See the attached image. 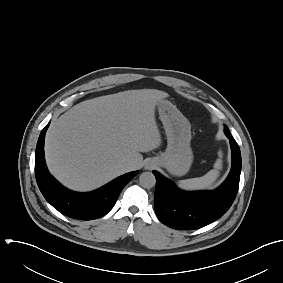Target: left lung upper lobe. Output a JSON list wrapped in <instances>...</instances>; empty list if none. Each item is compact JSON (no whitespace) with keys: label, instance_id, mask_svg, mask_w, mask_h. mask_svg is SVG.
<instances>
[{"label":"left lung upper lobe","instance_id":"1","mask_svg":"<svg viewBox=\"0 0 283 283\" xmlns=\"http://www.w3.org/2000/svg\"><path fill=\"white\" fill-rule=\"evenodd\" d=\"M224 131H225V133L230 132L229 129H228V127H226V126H225V130H224Z\"/></svg>","mask_w":283,"mask_h":283}]
</instances>
